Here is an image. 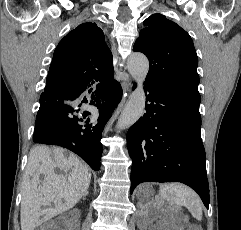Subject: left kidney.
<instances>
[{
    "label": "left kidney",
    "mask_w": 241,
    "mask_h": 230,
    "mask_svg": "<svg viewBox=\"0 0 241 230\" xmlns=\"http://www.w3.org/2000/svg\"><path fill=\"white\" fill-rule=\"evenodd\" d=\"M148 219H149V220H152V218H151V217H149ZM155 229H156V228H155ZM158 229H159V228H158Z\"/></svg>",
    "instance_id": "obj_1"
}]
</instances>
